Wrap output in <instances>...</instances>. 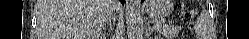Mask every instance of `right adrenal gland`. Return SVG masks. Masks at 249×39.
<instances>
[{"instance_id": "obj_1", "label": "right adrenal gland", "mask_w": 249, "mask_h": 39, "mask_svg": "<svg viewBox=\"0 0 249 39\" xmlns=\"http://www.w3.org/2000/svg\"><path fill=\"white\" fill-rule=\"evenodd\" d=\"M104 30L106 31V30H107V28H104ZM103 36H105V34H103Z\"/></svg>"}]
</instances>
